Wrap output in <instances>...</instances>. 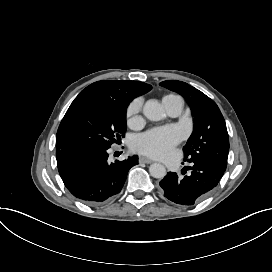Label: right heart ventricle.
Masks as SVG:
<instances>
[{
	"label": "right heart ventricle",
	"mask_w": 272,
	"mask_h": 272,
	"mask_svg": "<svg viewBox=\"0 0 272 272\" xmlns=\"http://www.w3.org/2000/svg\"><path fill=\"white\" fill-rule=\"evenodd\" d=\"M175 95H169V96H166L164 97L163 99V107L164 109L167 111V113L170 115L169 113V108H168V101L173 98Z\"/></svg>",
	"instance_id": "e07e8e85"
}]
</instances>
